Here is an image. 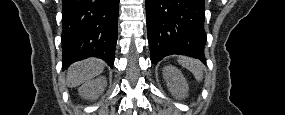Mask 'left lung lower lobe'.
Here are the masks:
<instances>
[{
    "instance_id": "obj_1",
    "label": "left lung lower lobe",
    "mask_w": 285,
    "mask_h": 115,
    "mask_svg": "<svg viewBox=\"0 0 285 115\" xmlns=\"http://www.w3.org/2000/svg\"><path fill=\"white\" fill-rule=\"evenodd\" d=\"M151 62L171 54L205 62L204 0H145Z\"/></svg>"
}]
</instances>
